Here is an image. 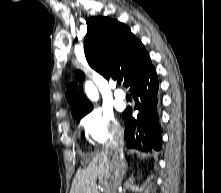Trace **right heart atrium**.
<instances>
[{
  "instance_id": "d8ad5b80",
  "label": "right heart atrium",
  "mask_w": 221,
  "mask_h": 193,
  "mask_svg": "<svg viewBox=\"0 0 221 193\" xmlns=\"http://www.w3.org/2000/svg\"><path fill=\"white\" fill-rule=\"evenodd\" d=\"M81 124L88 141L94 146H103L115 141L123 133L122 126L114 113L107 109L91 110L82 119Z\"/></svg>"
}]
</instances>
